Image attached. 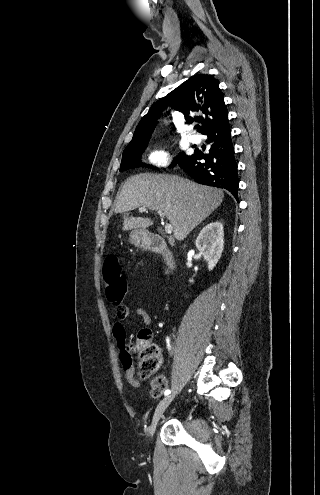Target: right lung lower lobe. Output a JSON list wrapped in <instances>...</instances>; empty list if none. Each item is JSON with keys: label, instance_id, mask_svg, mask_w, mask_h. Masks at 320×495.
I'll use <instances>...</instances> for the list:
<instances>
[{"label": "right lung lower lobe", "instance_id": "98d812e1", "mask_svg": "<svg viewBox=\"0 0 320 495\" xmlns=\"http://www.w3.org/2000/svg\"><path fill=\"white\" fill-rule=\"evenodd\" d=\"M202 134L207 136L209 153L203 155L201 151H195L178 165L196 182L224 188L237 199L239 180L229 120ZM201 159H204L205 163L199 162Z\"/></svg>", "mask_w": 320, "mask_h": 495}]
</instances>
